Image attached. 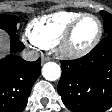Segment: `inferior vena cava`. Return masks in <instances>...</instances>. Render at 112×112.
<instances>
[{"mask_svg":"<svg viewBox=\"0 0 112 112\" xmlns=\"http://www.w3.org/2000/svg\"><path fill=\"white\" fill-rule=\"evenodd\" d=\"M22 58L26 61H35L39 58V53L32 49H26L21 54Z\"/></svg>","mask_w":112,"mask_h":112,"instance_id":"inferior-vena-cava-1","label":"inferior vena cava"}]
</instances>
